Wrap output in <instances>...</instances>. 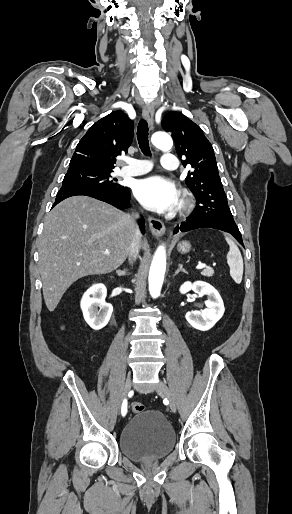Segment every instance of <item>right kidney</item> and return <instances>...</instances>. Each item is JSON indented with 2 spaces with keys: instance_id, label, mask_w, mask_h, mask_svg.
I'll use <instances>...</instances> for the list:
<instances>
[{
  "instance_id": "obj_1",
  "label": "right kidney",
  "mask_w": 292,
  "mask_h": 514,
  "mask_svg": "<svg viewBox=\"0 0 292 514\" xmlns=\"http://www.w3.org/2000/svg\"><path fill=\"white\" fill-rule=\"evenodd\" d=\"M106 296L107 290L104 284H95L85 292L81 300L84 320L93 330H101L111 318L113 306L105 302Z\"/></svg>"
}]
</instances>
